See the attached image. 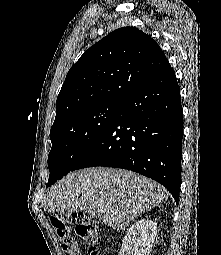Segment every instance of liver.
I'll use <instances>...</instances> for the list:
<instances>
[{
	"instance_id": "6515ba94",
	"label": "liver",
	"mask_w": 221,
	"mask_h": 255,
	"mask_svg": "<svg viewBox=\"0 0 221 255\" xmlns=\"http://www.w3.org/2000/svg\"><path fill=\"white\" fill-rule=\"evenodd\" d=\"M167 197V190L150 178L98 167L69 173L47 191L43 207L63 214L95 210L104 224L119 231Z\"/></svg>"
}]
</instances>
